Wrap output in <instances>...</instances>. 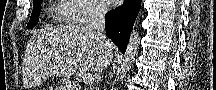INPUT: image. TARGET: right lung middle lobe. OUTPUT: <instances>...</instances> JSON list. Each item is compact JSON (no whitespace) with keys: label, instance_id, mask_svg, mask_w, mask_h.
Wrapping results in <instances>:
<instances>
[{"label":"right lung middle lobe","instance_id":"1","mask_svg":"<svg viewBox=\"0 0 216 90\" xmlns=\"http://www.w3.org/2000/svg\"><path fill=\"white\" fill-rule=\"evenodd\" d=\"M40 8H41V0H33V11L29 23L27 24L28 29L33 28L37 24L39 20Z\"/></svg>","mask_w":216,"mask_h":90}]
</instances>
